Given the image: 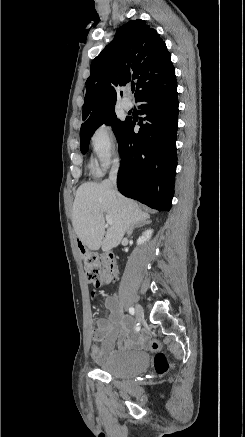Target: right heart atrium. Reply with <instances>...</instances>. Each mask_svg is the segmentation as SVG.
Here are the masks:
<instances>
[{
	"label": "right heart atrium",
	"instance_id": "d8ad5b80",
	"mask_svg": "<svg viewBox=\"0 0 245 437\" xmlns=\"http://www.w3.org/2000/svg\"><path fill=\"white\" fill-rule=\"evenodd\" d=\"M90 148L93 169L97 175L107 170L118 158L119 146L112 127L99 124L91 133Z\"/></svg>",
	"mask_w": 245,
	"mask_h": 437
}]
</instances>
